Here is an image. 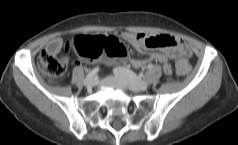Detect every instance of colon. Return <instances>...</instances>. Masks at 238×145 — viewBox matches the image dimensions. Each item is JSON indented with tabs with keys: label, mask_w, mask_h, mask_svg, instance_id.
Masks as SVG:
<instances>
[{
	"label": "colon",
	"mask_w": 238,
	"mask_h": 145,
	"mask_svg": "<svg viewBox=\"0 0 238 145\" xmlns=\"http://www.w3.org/2000/svg\"><path fill=\"white\" fill-rule=\"evenodd\" d=\"M67 47L76 55L88 61L107 59L110 63L126 60L128 52L123 43L113 36L79 35L69 41ZM37 65L40 70L51 77H60L67 70V62L44 50L40 53ZM179 75L187 74L191 66L186 59H180L175 64Z\"/></svg>",
	"instance_id": "5ec220e1"
}]
</instances>
